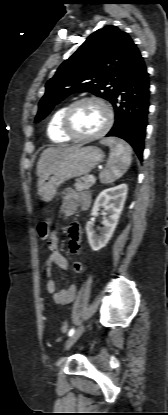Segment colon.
<instances>
[{"mask_svg": "<svg viewBox=\"0 0 168 415\" xmlns=\"http://www.w3.org/2000/svg\"><path fill=\"white\" fill-rule=\"evenodd\" d=\"M38 233L42 240H46V238L49 236V233H50V221L49 220L42 221L41 223H39ZM68 330H69V324L66 321H64L61 324V331L63 333H67Z\"/></svg>", "mask_w": 168, "mask_h": 415, "instance_id": "colon-1", "label": "colon"}]
</instances>
